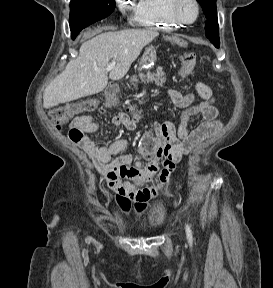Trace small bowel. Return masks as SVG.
Here are the masks:
<instances>
[{"instance_id":"c3829d8e","label":"small bowel","mask_w":273,"mask_h":288,"mask_svg":"<svg viewBox=\"0 0 273 288\" xmlns=\"http://www.w3.org/2000/svg\"><path fill=\"white\" fill-rule=\"evenodd\" d=\"M195 89L199 100H195L193 93L183 94L172 89L168 91L171 101L182 112L176 126L171 122L154 124L152 130L143 135L138 152L148 161L146 167L130 154L117 156L129 148L130 144L125 139L109 145L94 142L88 134L98 131L100 125L91 116H79L72 122L70 140L92 160L97 171L104 177L105 185L114 193L115 203L123 212L128 213L132 207L137 213L145 211L148 201L163 189L182 158L221 130L222 122L218 119L220 112L211 88L203 82H197ZM100 112L106 113L103 109ZM197 115H201L204 122L189 130L192 118ZM137 121V114L129 116L119 112L112 117L115 127L127 130H134ZM75 128L83 134L79 139L73 138L71 134ZM155 174H158L155 187L139 188L134 184L147 182Z\"/></svg>"}]
</instances>
